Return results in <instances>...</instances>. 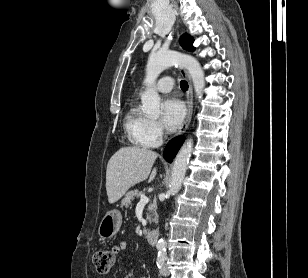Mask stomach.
Instances as JSON below:
<instances>
[{"instance_id": "obj_1", "label": "stomach", "mask_w": 308, "mask_h": 278, "mask_svg": "<svg viewBox=\"0 0 308 278\" xmlns=\"http://www.w3.org/2000/svg\"><path fill=\"white\" fill-rule=\"evenodd\" d=\"M121 224V213L118 210H111L101 220L98 234L102 239L112 238L119 231Z\"/></svg>"}]
</instances>
